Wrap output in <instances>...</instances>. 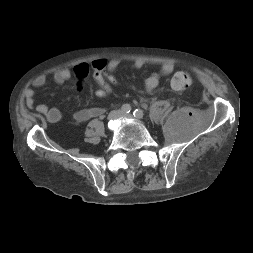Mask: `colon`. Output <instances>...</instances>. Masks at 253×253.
<instances>
[{"label":"colon","mask_w":253,"mask_h":253,"mask_svg":"<svg viewBox=\"0 0 253 253\" xmlns=\"http://www.w3.org/2000/svg\"><path fill=\"white\" fill-rule=\"evenodd\" d=\"M92 75L98 85L97 94L106 96L112 86L118 84V80L114 73L107 68L105 59H96L91 63ZM192 84V78L188 73L178 72L171 79V86L176 90H185Z\"/></svg>","instance_id":"5ec220e1"}]
</instances>
